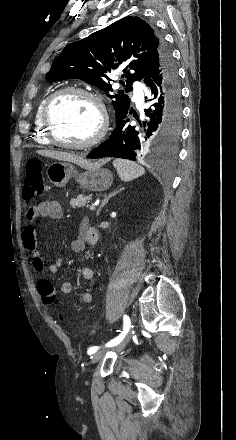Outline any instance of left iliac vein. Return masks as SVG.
<instances>
[{
  "instance_id": "obj_1",
  "label": "left iliac vein",
  "mask_w": 236,
  "mask_h": 440,
  "mask_svg": "<svg viewBox=\"0 0 236 440\" xmlns=\"http://www.w3.org/2000/svg\"><path fill=\"white\" fill-rule=\"evenodd\" d=\"M131 335H132V331H131V329H129L127 334L125 335V337L113 348V350L114 351H121L122 349H124L125 346L127 345V343L129 342ZM104 355H105V351L96 352L92 356V360H91L92 363L98 362L100 359L103 358Z\"/></svg>"
}]
</instances>
